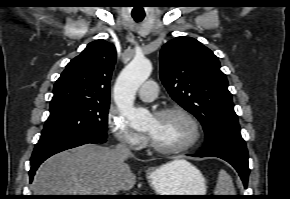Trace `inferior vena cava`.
<instances>
[{
  "instance_id": "602c4592",
  "label": "inferior vena cava",
  "mask_w": 290,
  "mask_h": 199,
  "mask_svg": "<svg viewBox=\"0 0 290 199\" xmlns=\"http://www.w3.org/2000/svg\"><path fill=\"white\" fill-rule=\"evenodd\" d=\"M115 150L123 156H129L132 154L130 149L127 147V145L124 142L117 144L115 146Z\"/></svg>"
}]
</instances>
